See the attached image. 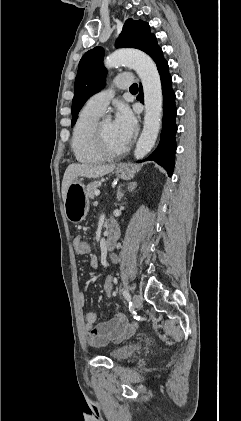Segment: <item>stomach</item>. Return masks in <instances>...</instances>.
Here are the masks:
<instances>
[{"label": "stomach", "mask_w": 241, "mask_h": 421, "mask_svg": "<svg viewBox=\"0 0 241 421\" xmlns=\"http://www.w3.org/2000/svg\"><path fill=\"white\" fill-rule=\"evenodd\" d=\"M134 169L127 164H120L116 168V175L124 180L134 177ZM66 218L72 223L83 221L89 211V200L85 185L81 180H74L68 187L64 200Z\"/></svg>", "instance_id": "obj_1"}]
</instances>
